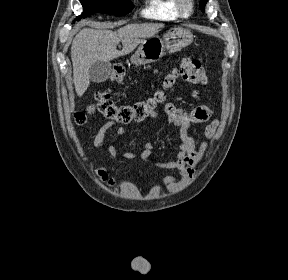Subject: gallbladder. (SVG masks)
Masks as SVG:
<instances>
[{
  "label": "gallbladder",
  "instance_id": "1",
  "mask_svg": "<svg viewBox=\"0 0 288 280\" xmlns=\"http://www.w3.org/2000/svg\"><path fill=\"white\" fill-rule=\"evenodd\" d=\"M112 72L110 62L98 60L89 68L90 80L96 83L106 81Z\"/></svg>",
  "mask_w": 288,
  "mask_h": 280
}]
</instances>
